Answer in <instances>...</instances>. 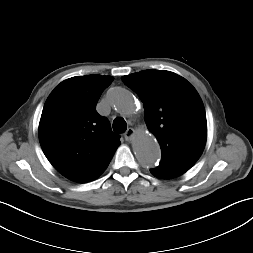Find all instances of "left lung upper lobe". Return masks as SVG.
I'll use <instances>...</instances> for the list:
<instances>
[{
  "label": "left lung upper lobe",
  "instance_id": "1",
  "mask_svg": "<svg viewBox=\"0 0 253 253\" xmlns=\"http://www.w3.org/2000/svg\"><path fill=\"white\" fill-rule=\"evenodd\" d=\"M122 80L144 104L145 122L161 147L160 164L191 168L207 138L205 109L195 88L165 70H144Z\"/></svg>",
  "mask_w": 253,
  "mask_h": 253
}]
</instances>
